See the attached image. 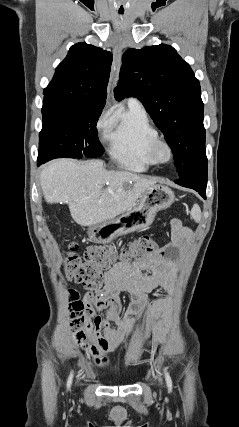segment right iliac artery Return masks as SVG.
<instances>
[{
  "instance_id": "obj_1",
  "label": "right iliac artery",
  "mask_w": 239,
  "mask_h": 427,
  "mask_svg": "<svg viewBox=\"0 0 239 427\" xmlns=\"http://www.w3.org/2000/svg\"><path fill=\"white\" fill-rule=\"evenodd\" d=\"M72 378H73V372H71L69 378H68V382H67V388L69 389L72 383Z\"/></svg>"
}]
</instances>
